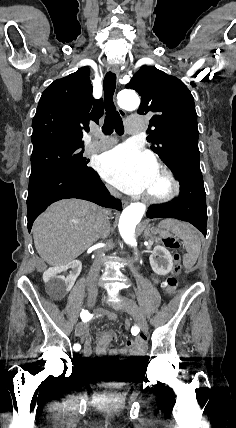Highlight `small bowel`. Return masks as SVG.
<instances>
[{"label":"small bowel","mask_w":236,"mask_h":428,"mask_svg":"<svg viewBox=\"0 0 236 428\" xmlns=\"http://www.w3.org/2000/svg\"><path fill=\"white\" fill-rule=\"evenodd\" d=\"M103 316L108 320H115V314L111 312L103 313ZM76 334L84 342L83 352L86 357H90L92 354V340L87 324L80 323L76 327ZM114 339V333L112 331H101L97 335V346L95 349L96 354L105 355L110 342ZM146 340L144 336H137L133 340H128L125 346L121 349H111L109 355L113 357H125L133 360H140L145 351Z\"/></svg>","instance_id":"1"}]
</instances>
